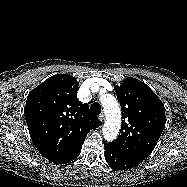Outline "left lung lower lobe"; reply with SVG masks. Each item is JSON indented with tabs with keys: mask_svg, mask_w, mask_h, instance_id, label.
Instances as JSON below:
<instances>
[{
	"mask_svg": "<svg viewBox=\"0 0 187 187\" xmlns=\"http://www.w3.org/2000/svg\"><path fill=\"white\" fill-rule=\"evenodd\" d=\"M104 149V156L108 165L115 170L130 169L137 166L140 163L121 154L107 142H104Z\"/></svg>",
	"mask_w": 187,
	"mask_h": 187,
	"instance_id": "1",
	"label": "left lung lower lobe"
}]
</instances>
